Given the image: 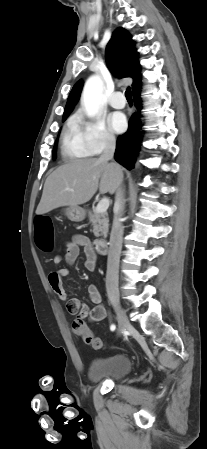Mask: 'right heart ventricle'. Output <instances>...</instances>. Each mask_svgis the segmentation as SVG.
I'll list each match as a JSON object with an SVG mask.
<instances>
[{
  "instance_id": "1",
  "label": "right heart ventricle",
  "mask_w": 207,
  "mask_h": 449,
  "mask_svg": "<svg viewBox=\"0 0 207 449\" xmlns=\"http://www.w3.org/2000/svg\"><path fill=\"white\" fill-rule=\"evenodd\" d=\"M61 154L67 160L91 155L82 139L78 120L75 117H71L67 122L61 141Z\"/></svg>"
}]
</instances>
